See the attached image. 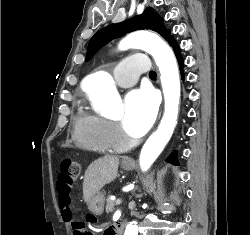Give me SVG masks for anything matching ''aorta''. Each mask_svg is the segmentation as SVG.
Masks as SVG:
<instances>
[{"label":"aorta","instance_id":"762f6f07","mask_svg":"<svg viewBox=\"0 0 250 235\" xmlns=\"http://www.w3.org/2000/svg\"><path fill=\"white\" fill-rule=\"evenodd\" d=\"M119 50L138 48L151 54L159 67L161 84L165 99V111L158 129L148 138L140 153V167L147 171L169 142L177 123L180 99V79L173 51L159 36L136 31L122 40ZM85 90L94 103L100 100L109 103V114L121 112L120 97L111 75L105 71L98 72L87 79ZM124 235H138L135 222L127 224Z\"/></svg>","mask_w":250,"mask_h":235}]
</instances>
